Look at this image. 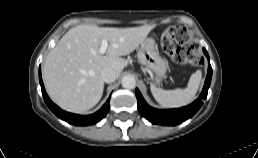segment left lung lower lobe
I'll use <instances>...</instances> for the list:
<instances>
[{
  "instance_id": "left-lung-lower-lobe-1",
  "label": "left lung lower lobe",
  "mask_w": 258,
  "mask_h": 158,
  "mask_svg": "<svg viewBox=\"0 0 258 158\" xmlns=\"http://www.w3.org/2000/svg\"><path fill=\"white\" fill-rule=\"evenodd\" d=\"M203 52L206 57L209 59V55L205 48H203ZM203 61V58H202ZM212 78V68L211 65L208 66V73L206 76L205 84L203 90L198 97L192 104L178 109H170V110H159L150 107L145 100L143 99L141 93L138 89H136V98L138 102V110L140 114L150 121L153 124L159 125H167V126H174L184 122L185 120L191 118L202 106L203 100L206 99L208 94V89L211 83Z\"/></svg>"
}]
</instances>
